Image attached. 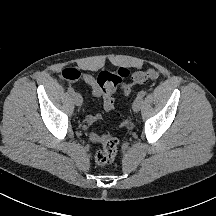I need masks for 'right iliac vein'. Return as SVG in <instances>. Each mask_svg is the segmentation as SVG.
<instances>
[{
    "mask_svg": "<svg viewBox=\"0 0 216 216\" xmlns=\"http://www.w3.org/2000/svg\"><path fill=\"white\" fill-rule=\"evenodd\" d=\"M72 99H73V102L75 103V105H77V106H81L83 103V98L79 93L72 94Z\"/></svg>",
    "mask_w": 216,
    "mask_h": 216,
    "instance_id": "obj_1",
    "label": "right iliac vein"
}]
</instances>
